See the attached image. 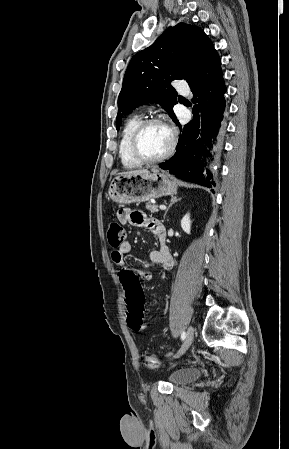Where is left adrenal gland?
<instances>
[{
    "label": "left adrenal gland",
    "mask_w": 289,
    "mask_h": 449,
    "mask_svg": "<svg viewBox=\"0 0 289 449\" xmlns=\"http://www.w3.org/2000/svg\"><path fill=\"white\" fill-rule=\"evenodd\" d=\"M179 200H181V198H177V197H172V198H171V203L169 204L168 208H167L166 211H165L164 218L166 217V214H167L169 208H170L175 202H177V201H179Z\"/></svg>",
    "instance_id": "1"
}]
</instances>
